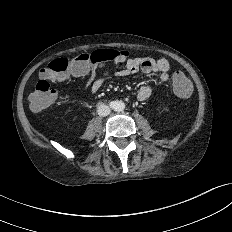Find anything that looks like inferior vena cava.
Here are the masks:
<instances>
[{"instance_id":"inferior-vena-cava-1","label":"inferior vena cava","mask_w":232,"mask_h":232,"mask_svg":"<svg viewBox=\"0 0 232 232\" xmlns=\"http://www.w3.org/2000/svg\"><path fill=\"white\" fill-rule=\"evenodd\" d=\"M110 111V107L104 104H101L97 110L98 115L102 117L108 116L110 114Z\"/></svg>"}]
</instances>
